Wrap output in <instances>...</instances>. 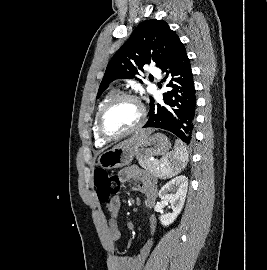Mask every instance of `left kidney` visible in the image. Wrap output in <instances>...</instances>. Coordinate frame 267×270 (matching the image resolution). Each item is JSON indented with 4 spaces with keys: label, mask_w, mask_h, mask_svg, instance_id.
<instances>
[{
    "label": "left kidney",
    "mask_w": 267,
    "mask_h": 270,
    "mask_svg": "<svg viewBox=\"0 0 267 270\" xmlns=\"http://www.w3.org/2000/svg\"><path fill=\"white\" fill-rule=\"evenodd\" d=\"M187 188L188 179L183 175L171 179L161 187L159 197L161 200L169 202L172 208V213L163 214L159 217L163 226L172 224L180 214L184 206Z\"/></svg>",
    "instance_id": "5707ae66"
}]
</instances>
